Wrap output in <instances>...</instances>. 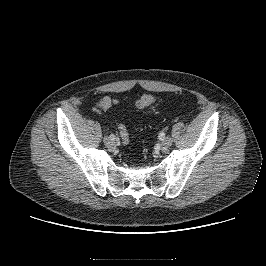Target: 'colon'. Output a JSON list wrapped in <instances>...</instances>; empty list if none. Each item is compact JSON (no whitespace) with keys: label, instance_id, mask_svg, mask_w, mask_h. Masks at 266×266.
Returning a JSON list of instances; mask_svg holds the SVG:
<instances>
[{"label":"colon","instance_id":"5ec220e1","mask_svg":"<svg viewBox=\"0 0 266 266\" xmlns=\"http://www.w3.org/2000/svg\"><path fill=\"white\" fill-rule=\"evenodd\" d=\"M156 98L152 94H143L136 100V107L139 109H145L154 106ZM120 135L124 143L129 141V135L124 125L119 127Z\"/></svg>","mask_w":266,"mask_h":266}]
</instances>
